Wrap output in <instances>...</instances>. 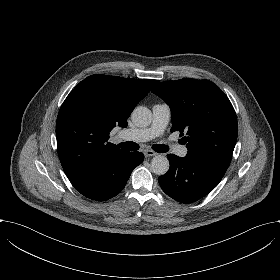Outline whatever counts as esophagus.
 Instances as JSON below:
<instances>
[{
    "mask_svg": "<svg viewBox=\"0 0 280 280\" xmlns=\"http://www.w3.org/2000/svg\"><path fill=\"white\" fill-rule=\"evenodd\" d=\"M144 155H145L146 158H148V157H151V156H156L157 153L154 152L153 150L146 149V150H144Z\"/></svg>",
    "mask_w": 280,
    "mask_h": 280,
    "instance_id": "1",
    "label": "esophagus"
}]
</instances>
